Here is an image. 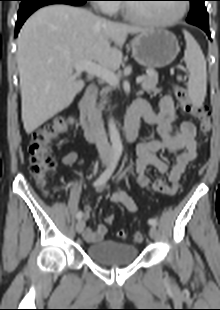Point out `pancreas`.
I'll list each match as a JSON object with an SVG mask.
<instances>
[{
  "mask_svg": "<svg viewBox=\"0 0 220 310\" xmlns=\"http://www.w3.org/2000/svg\"><path fill=\"white\" fill-rule=\"evenodd\" d=\"M147 75L143 77V81L141 82V87L143 91L153 95H156L161 92V89L157 88L156 85L158 83V73L154 69H148ZM106 103V99L104 98L100 107L103 108V105Z\"/></svg>",
  "mask_w": 220,
  "mask_h": 310,
  "instance_id": "1",
  "label": "pancreas"
}]
</instances>
